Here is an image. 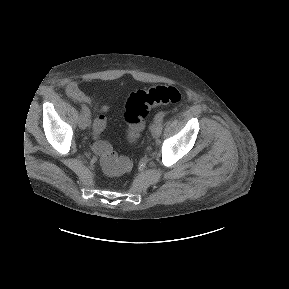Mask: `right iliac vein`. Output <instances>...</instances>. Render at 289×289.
Here are the masks:
<instances>
[{
    "mask_svg": "<svg viewBox=\"0 0 289 289\" xmlns=\"http://www.w3.org/2000/svg\"><path fill=\"white\" fill-rule=\"evenodd\" d=\"M78 125L81 129H86L90 125L89 117L84 114H81L79 116Z\"/></svg>",
    "mask_w": 289,
    "mask_h": 289,
    "instance_id": "1",
    "label": "right iliac vein"
}]
</instances>
